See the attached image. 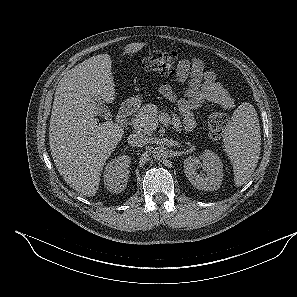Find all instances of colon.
Returning a JSON list of instances; mask_svg holds the SVG:
<instances>
[{
    "instance_id": "1",
    "label": "colon",
    "mask_w": 297,
    "mask_h": 297,
    "mask_svg": "<svg viewBox=\"0 0 297 297\" xmlns=\"http://www.w3.org/2000/svg\"><path fill=\"white\" fill-rule=\"evenodd\" d=\"M178 56L175 52H154L140 59L139 65L146 71L170 76L174 72ZM228 125V118L221 112L212 113L207 120L209 134L214 138L223 135Z\"/></svg>"
}]
</instances>
